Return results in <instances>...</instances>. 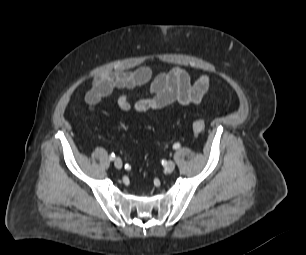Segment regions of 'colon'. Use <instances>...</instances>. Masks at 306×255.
Listing matches in <instances>:
<instances>
[{"label": "colon", "instance_id": "colon-1", "mask_svg": "<svg viewBox=\"0 0 306 255\" xmlns=\"http://www.w3.org/2000/svg\"><path fill=\"white\" fill-rule=\"evenodd\" d=\"M206 124L202 118H196L192 122V130L195 134H201L205 130Z\"/></svg>", "mask_w": 306, "mask_h": 255}]
</instances>
